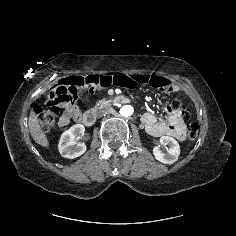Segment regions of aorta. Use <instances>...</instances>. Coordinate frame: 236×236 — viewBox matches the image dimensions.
I'll list each match as a JSON object with an SVG mask.
<instances>
[{
	"label": "aorta",
	"instance_id": "aorta-1",
	"mask_svg": "<svg viewBox=\"0 0 236 236\" xmlns=\"http://www.w3.org/2000/svg\"><path fill=\"white\" fill-rule=\"evenodd\" d=\"M134 112V109L131 105H124L119 108V116L127 118L130 117Z\"/></svg>",
	"mask_w": 236,
	"mask_h": 236
}]
</instances>
